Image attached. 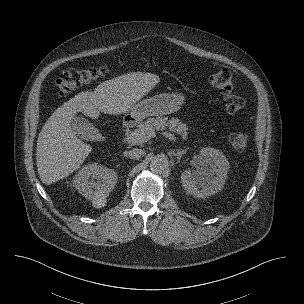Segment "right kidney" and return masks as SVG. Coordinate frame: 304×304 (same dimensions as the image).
Masks as SVG:
<instances>
[{"mask_svg": "<svg viewBox=\"0 0 304 304\" xmlns=\"http://www.w3.org/2000/svg\"><path fill=\"white\" fill-rule=\"evenodd\" d=\"M117 174L104 165L88 163L73 178V186L86 199L104 206L106 198L117 183Z\"/></svg>", "mask_w": 304, "mask_h": 304, "instance_id": "right-kidney-1", "label": "right kidney"}]
</instances>
